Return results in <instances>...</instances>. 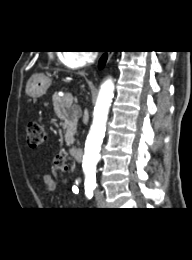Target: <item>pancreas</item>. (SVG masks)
<instances>
[{
  "mask_svg": "<svg viewBox=\"0 0 192 260\" xmlns=\"http://www.w3.org/2000/svg\"><path fill=\"white\" fill-rule=\"evenodd\" d=\"M54 112L57 117L63 121L62 127L65 131V142L67 145L74 143L77 122L81 116L80 108L77 105H68L65 96L60 97L57 94L53 96Z\"/></svg>",
  "mask_w": 192,
  "mask_h": 260,
  "instance_id": "cf45deb5",
  "label": "pancreas"
}]
</instances>
